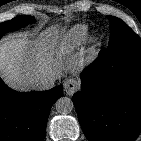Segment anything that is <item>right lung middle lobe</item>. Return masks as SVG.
<instances>
[{
	"label": "right lung middle lobe",
	"instance_id": "dd1d6c3e",
	"mask_svg": "<svg viewBox=\"0 0 141 141\" xmlns=\"http://www.w3.org/2000/svg\"><path fill=\"white\" fill-rule=\"evenodd\" d=\"M31 16H20L13 18L11 21H6L4 23H0V38L6 33L13 30H17L27 24L31 23Z\"/></svg>",
	"mask_w": 141,
	"mask_h": 141
}]
</instances>
